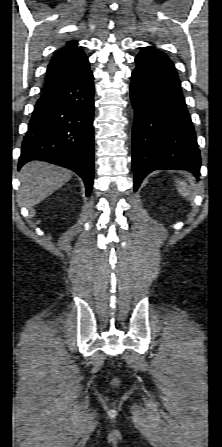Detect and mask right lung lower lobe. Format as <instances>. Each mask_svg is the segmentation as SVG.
I'll return each instance as SVG.
<instances>
[{"instance_id":"1","label":"right lung lower lobe","mask_w":222,"mask_h":447,"mask_svg":"<svg viewBox=\"0 0 222 447\" xmlns=\"http://www.w3.org/2000/svg\"><path fill=\"white\" fill-rule=\"evenodd\" d=\"M94 85L86 58L38 99L22 144L19 168L42 160L69 168L90 195L94 174Z\"/></svg>"}]
</instances>
